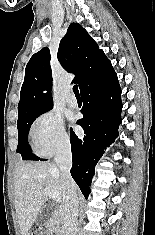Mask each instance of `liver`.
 Here are the masks:
<instances>
[{
  "label": "liver",
  "instance_id": "obj_1",
  "mask_svg": "<svg viewBox=\"0 0 155 235\" xmlns=\"http://www.w3.org/2000/svg\"><path fill=\"white\" fill-rule=\"evenodd\" d=\"M45 188L57 192L61 199L64 189L61 172L53 162L19 161L14 172L15 209L21 235H27L48 195Z\"/></svg>",
  "mask_w": 155,
  "mask_h": 235
}]
</instances>
